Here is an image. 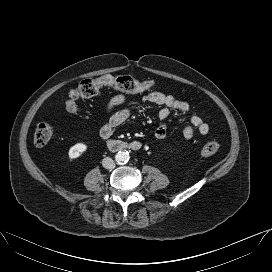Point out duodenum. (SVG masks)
I'll use <instances>...</instances> for the list:
<instances>
[{"label":"duodenum","instance_id":"obj_1","mask_svg":"<svg viewBox=\"0 0 272 272\" xmlns=\"http://www.w3.org/2000/svg\"><path fill=\"white\" fill-rule=\"evenodd\" d=\"M108 147L112 152L121 150L140 151L142 144L140 141H122V140H109Z\"/></svg>","mask_w":272,"mask_h":272}]
</instances>
